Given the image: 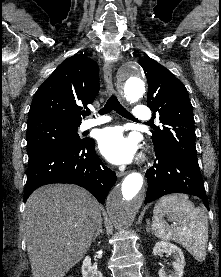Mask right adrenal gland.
I'll return each instance as SVG.
<instances>
[{"label":"right adrenal gland","instance_id":"2a0ac1e0","mask_svg":"<svg viewBox=\"0 0 221 277\" xmlns=\"http://www.w3.org/2000/svg\"><path fill=\"white\" fill-rule=\"evenodd\" d=\"M101 233H103L102 221H101V222L99 223V225H98L97 231H96V233H95V235H94V237H93V241H95L96 238H97Z\"/></svg>","mask_w":221,"mask_h":277}]
</instances>
